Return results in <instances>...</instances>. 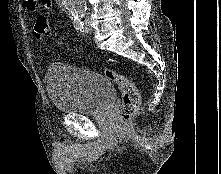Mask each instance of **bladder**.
Wrapping results in <instances>:
<instances>
[{
  "label": "bladder",
  "mask_w": 221,
  "mask_h": 174,
  "mask_svg": "<svg viewBox=\"0 0 221 174\" xmlns=\"http://www.w3.org/2000/svg\"><path fill=\"white\" fill-rule=\"evenodd\" d=\"M48 97L60 112L99 114L115 100L111 81L95 71L66 63L51 64L45 74Z\"/></svg>",
  "instance_id": "obj_1"
}]
</instances>
